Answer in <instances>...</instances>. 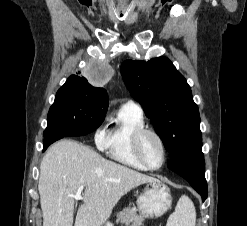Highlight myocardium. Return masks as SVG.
Returning a JSON list of instances; mask_svg holds the SVG:
<instances>
[{"label": "myocardium", "mask_w": 247, "mask_h": 226, "mask_svg": "<svg viewBox=\"0 0 247 226\" xmlns=\"http://www.w3.org/2000/svg\"><path fill=\"white\" fill-rule=\"evenodd\" d=\"M146 134L153 135L160 143V146L162 149V160L158 166L149 165L142 156V153L140 150V142H141L142 137ZM132 151H133L135 158L138 160V162L148 170L160 169L165 164L166 159H167V148H166V144H165L163 137L156 130L147 128V127L139 128L138 130L134 132L132 136Z\"/></svg>", "instance_id": "myocardium-1"}]
</instances>
